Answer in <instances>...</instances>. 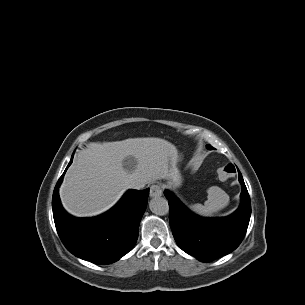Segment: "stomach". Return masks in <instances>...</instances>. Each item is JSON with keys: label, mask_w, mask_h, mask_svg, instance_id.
<instances>
[{"label": "stomach", "mask_w": 305, "mask_h": 305, "mask_svg": "<svg viewBox=\"0 0 305 305\" xmlns=\"http://www.w3.org/2000/svg\"><path fill=\"white\" fill-rule=\"evenodd\" d=\"M181 156L176 152V154L172 157L171 169H170V177L167 181V186L170 188H178L182 185V176L177 168V163L180 161Z\"/></svg>", "instance_id": "obj_1"}]
</instances>
